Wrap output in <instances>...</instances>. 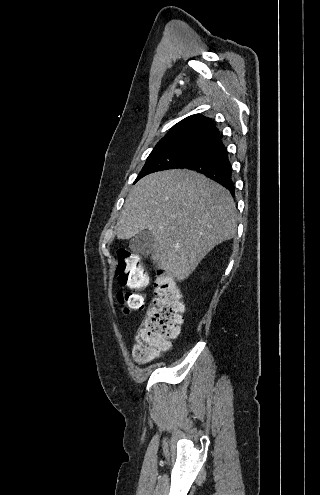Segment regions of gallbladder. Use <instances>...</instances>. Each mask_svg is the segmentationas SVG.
Returning <instances> with one entry per match:
<instances>
[{
	"instance_id": "1",
	"label": "gallbladder",
	"mask_w": 320,
	"mask_h": 495,
	"mask_svg": "<svg viewBox=\"0 0 320 495\" xmlns=\"http://www.w3.org/2000/svg\"><path fill=\"white\" fill-rule=\"evenodd\" d=\"M154 244V236L148 229L137 233L130 241V248L134 252H139L142 255H148Z\"/></svg>"
}]
</instances>
